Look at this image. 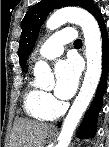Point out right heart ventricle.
<instances>
[{
	"instance_id": "e07e8e85",
	"label": "right heart ventricle",
	"mask_w": 109,
	"mask_h": 147,
	"mask_svg": "<svg viewBox=\"0 0 109 147\" xmlns=\"http://www.w3.org/2000/svg\"><path fill=\"white\" fill-rule=\"evenodd\" d=\"M23 105L26 113L37 120H48L58 113L56 108L46 106L44 92L32 81L30 76L26 79Z\"/></svg>"
}]
</instances>
